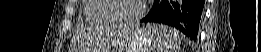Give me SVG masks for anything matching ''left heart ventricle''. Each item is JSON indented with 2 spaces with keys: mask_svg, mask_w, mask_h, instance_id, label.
<instances>
[{
  "mask_svg": "<svg viewBox=\"0 0 261 52\" xmlns=\"http://www.w3.org/2000/svg\"><path fill=\"white\" fill-rule=\"evenodd\" d=\"M141 5L139 0H119L116 2L114 14L121 17H130L137 13Z\"/></svg>",
  "mask_w": 261,
  "mask_h": 52,
  "instance_id": "left-heart-ventricle-1",
  "label": "left heart ventricle"
}]
</instances>
